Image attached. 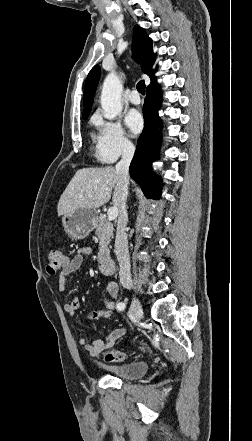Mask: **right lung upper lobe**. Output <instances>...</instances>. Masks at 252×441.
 Wrapping results in <instances>:
<instances>
[{
    "instance_id": "right-lung-upper-lobe-1",
    "label": "right lung upper lobe",
    "mask_w": 252,
    "mask_h": 441,
    "mask_svg": "<svg viewBox=\"0 0 252 441\" xmlns=\"http://www.w3.org/2000/svg\"><path fill=\"white\" fill-rule=\"evenodd\" d=\"M132 48L134 58L140 64L143 72L150 77L151 83L154 82L155 70L152 69V66L155 61V54L152 49V40L145 30L138 25L134 27ZM100 73V67L96 65L87 76L83 98V119H86L91 111Z\"/></svg>"
}]
</instances>
